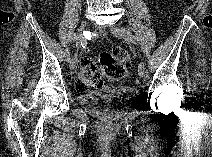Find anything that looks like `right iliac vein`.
I'll return each instance as SVG.
<instances>
[{"instance_id": "right-iliac-vein-1", "label": "right iliac vein", "mask_w": 212, "mask_h": 157, "mask_svg": "<svg viewBox=\"0 0 212 157\" xmlns=\"http://www.w3.org/2000/svg\"><path fill=\"white\" fill-rule=\"evenodd\" d=\"M87 26V22L84 21L82 22L81 26H80V30H83L85 27ZM75 38H76V46L79 47L80 46V42L82 41V35L79 33V34H76L75 35ZM76 62H77V57L76 55L71 59L70 61V69H74L76 67Z\"/></svg>"}]
</instances>
